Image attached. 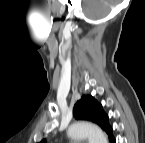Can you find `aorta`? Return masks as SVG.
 Masks as SVG:
<instances>
[{"label":"aorta","instance_id":"obj_1","mask_svg":"<svg viewBox=\"0 0 145 143\" xmlns=\"http://www.w3.org/2000/svg\"><path fill=\"white\" fill-rule=\"evenodd\" d=\"M72 139L87 138L89 143H108L107 136L96 125L87 122H75L68 128Z\"/></svg>","mask_w":145,"mask_h":143}]
</instances>
